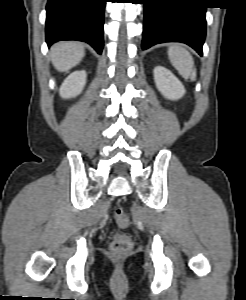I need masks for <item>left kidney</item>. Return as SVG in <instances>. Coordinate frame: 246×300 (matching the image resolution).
<instances>
[{"label":"left kidney","mask_w":246,"mask_h":300,"mask_svg":"<svg viewBox=\"0 0 246 300\" xmlns=\"http://www.w3.org/2000/svg\"><path fill=\"white\" fill-rule=\"evenodd\" d=\"M154 80L157 89L169 100H178L185 94V88L179 79L162 66L154 68Z\"/></svg>","instance_id":"1"}]
</instances>
